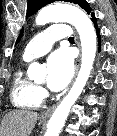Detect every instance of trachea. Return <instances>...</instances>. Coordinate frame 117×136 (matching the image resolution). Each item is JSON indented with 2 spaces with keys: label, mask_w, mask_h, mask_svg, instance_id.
I'll use <instances>...</instances> for the list:
<instances>
[{
  "label": "trachea",
  "mask_w": 117,
  "mask_h": 136,
  "mask_svg": "<svg viewBox=\"0 0 117 136\" xmlns=\"http://www.w3.org/2000/svg\"><path fill=\"white\" fill-rule=\"evenodd\" d=\"M68 40H70V41H74V37H69V39Z\"/></svg>",
  "instance_id": "obj_1"
}]
</instances>
